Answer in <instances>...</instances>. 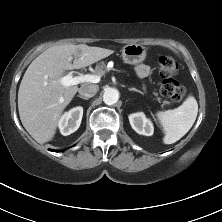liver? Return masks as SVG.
Segmentation results:
<instances>
[{"label": "liver", "instance_id": "liver-1", "mask_svg": "<svg viewBox=\"0 0 222 222\" xmlns=\"http://www.w3.org/2000/svg\"><path fill=\"white\" fill-rule=\"evenodd\" d=\"M113 52L66 44L48 48L32 61L20 83L18 110L24 128L38 143L52 140L62 112L79 90L78 86L61 84L64 72L87 67Z\"/></svg>", "mask_w": 222, "mask_h": 222}]
</instances>
